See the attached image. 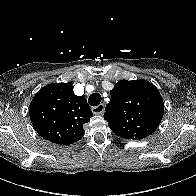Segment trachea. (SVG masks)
Instances as JSON below:
<instances>
[{
  "label": "trachea",
  "mask_w": 196,
  "mask_h": 196,
  "mask_svg": "<svg viewBox=\"0 0 196 196\" xmlns=\"http://www.w3.org/2000/svg\"><path fill=\"white\" fill-rule=\"evenodd\" d=\"M101 95L99 93H93L89 96L88 102L91 106H98L101 102Z\"/></svg>",
  "instance_id": "1"
}]
</instances>
